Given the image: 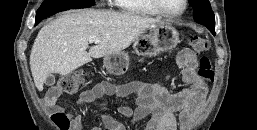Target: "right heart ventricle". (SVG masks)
Masks as SVG:
<instances>
[{
  "mask_svg": "<svg viewBox=\"0 0 257 130\" xmlns=\"http://www.w3.org/2000/svg\"><path fill=\"white\" fill-rule=\"evenodd\" d=\"M114 4L124 13L136 16H155L156 11L149 0H113Z\"/></svg>",
  "mask_w": 257,
  "mask_h": 130,
  "instance_id": "e07e8e85",
  "label": "right heart ventricle"
}]
</instances>
